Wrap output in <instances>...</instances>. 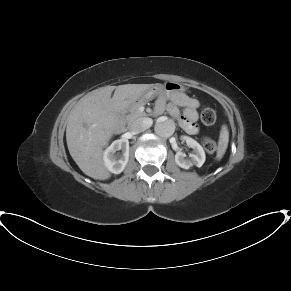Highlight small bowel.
<instances>
[{
	"instance_id": "c3829d8e",
	"label": "small bowel",
	"mask_w": 291,
	"mask_h": 291,
	"mask_svg": "<svg viewBox=\"0 0 291 291\" xmlns=\"http://www.w3.org/2000/svg\"><path fill=\"white\" fill-rule=\"evenodd\" d=\"M199 105L200 103L197 100L183 93H175L169 97L167 103L164 99H159L156 108L158 112H162L166 109L168 114L177 120L180 127L187 134L196 135L199 132V127L195 123ZM179 107L184 108L183 113H181Z\"/></svg>"
}]
</instances>
